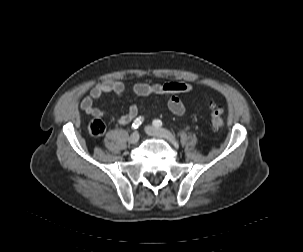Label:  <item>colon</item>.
I'll list each match as a JSON object with an SVG mask.
<instances>
[{
	"label": "colon",
	"mask_w": 303,
	"mask_h": 252,
	"mask_svg": "<svg viewBox=\"0 0 303 252\" xmlns=\"http://www.w3.org/2000/svg\"><path fill=\"white\" fill-rule=\"evenodd\" d=\"M209 109L211 113V126L213 129L217 130L223 125V109L216 106L213 102L209 103ZM105 129V124L99 119H95L89 124V130L93 136L104 134Z\"/></svg>",
	"instance_id": "1"
}]
</instances>
